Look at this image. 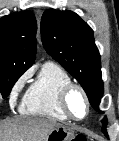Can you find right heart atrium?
Instances as JSON below:
<instances>
[{"label": "right heart atrium", "mask_w": 119, "mask_h": 141, "mask_svg": "<svg viewBox=\"0 0 119 141\" xmlns=\"http://www.w3.org/2000/svg\"><path fill=\"white\" fill-rule=\"evenodd\" d=\"M31 75V71H26L23 75H21L18 80L15 82L11 89L10 93V104L11 106H15L18 100L20 93L22 92L26 81L29 79Z\"/></svg>", "instance_id": "1"}]
</instances>
